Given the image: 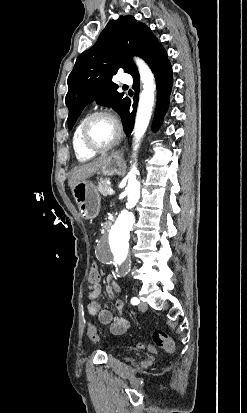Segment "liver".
Returning <instances> with one entry per match:
<instances>
[{
  "mask_svg": "<svg viewBox=\"0 0 247 413\" xmlns=\"http://www.w3.org/2000/svg\"><path fill=\"white\" fill-rule=\"evenodd\" d=\"M107 156H99V158H95L92 162H87V164H81V166H74L73 170H71V174L69 176V184L71 188L77 184V182H81V180H86L89 176H92L100 166H102L103 162H105Z\"/></svg>",
  "mask_w": 247,
  "mask_h": 413,
  "instance_id": "6515ba94",
  "label": "liver"
}]
</instances>
